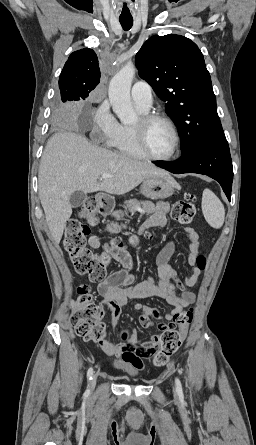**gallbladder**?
<instances>
[{
    "instance_id": "bac80fb5",
    "label": "gallbladder",
    "mask_w": 256,
    "mask_h": 445,
    "mask_svg": "<svg viewBox=\"0 0 256 445\" xmlns=\"http://www.w3.org/2000/svg\"><path fill=\"white\" fill-rule=\"evenodd\" d=\"M87 199V195L82 191H75L71 194L69 202L72 207L81 206Z\"/></svg>"
}]
</instances>
